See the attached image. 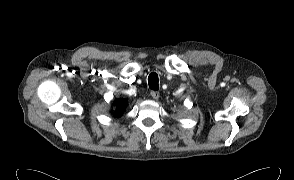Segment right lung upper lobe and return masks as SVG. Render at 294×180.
<instances>
[{"mask_svg": "<svg viewBox=\"0 0 294 180\" xmlns=\"http://www.w3.org/2000/svg\"><path fill=\"white\" fill-rule=\"evenodd\" d=\"M116 102H117V104H116L117 110L113 113V115L115 117H119V116H121L124 109L126 108V102L121 99L117 100Z\"/></svg>", "mask_w": 294, "mask_h": 180, "instance_id": "right-lung-upper-lobe-1", "label": "right lung upper lobe"}]
</instances>
